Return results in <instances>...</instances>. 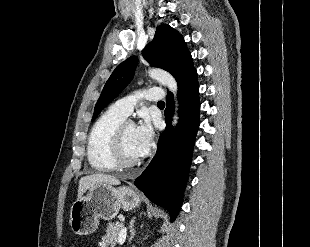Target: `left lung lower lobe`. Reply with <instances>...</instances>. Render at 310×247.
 I'll return each mask as SVG.
<instances>
[{
	"instance_id": "0a47b994",
	"label": "left lung lower lobe",
	"mask_w": 310,
	"mask_h": 247,
	"mask_svg": "<svg viewBox=\"0 0 310 247\" xmlns=\"http://www.w3.org/2000/svg\"><path fill=\"white\" fill-rule=\"evenodd\" d=\"M179 123L171 131L174 100L167 95V128L161 134L155 157L134 184L151 200L170 213L173 222L182 205L192 151L199 127V84L197 71H191L178 84Z\"/></svg>"
}]
</instances>
